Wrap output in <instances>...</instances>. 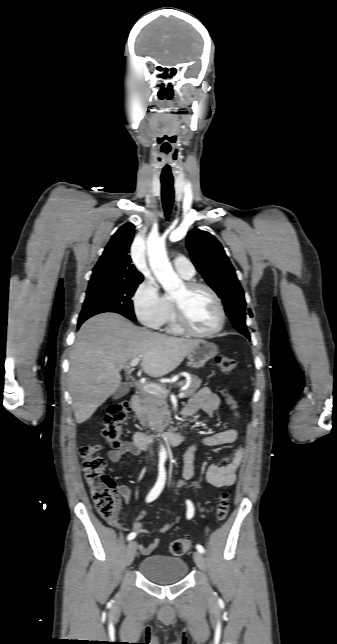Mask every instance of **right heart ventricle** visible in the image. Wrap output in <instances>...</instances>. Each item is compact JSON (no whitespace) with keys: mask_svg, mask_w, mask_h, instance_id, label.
<instances>
[{"mask_svg":"<svg viewBox=\"0 0 337 644\" xmlns=\"http://www.w3.org/2000/svg\"><path fill=\"white\" fill-rule=\"evenodd\" d=\"M187 279H190V278H187ZM166 301L168 305V310L162 325H165V331L167 333L173 334V335L180 334L181 330L177 327L174 320L171 300L169 298H166Z\"/></svg>","mask_w":337,"mask_h":644,"instance_id":"e07e8e85","label":"right heart ventricle"}]
</instances>
